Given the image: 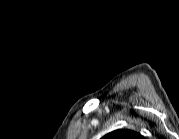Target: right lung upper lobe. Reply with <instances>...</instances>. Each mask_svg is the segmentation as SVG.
Returning a JSON list of instances; mask_svg holds the SVG:
<instances>
[{
    "instance_id": "obj_1",
    "label": "right lung upper lobe",
    "mask_w": 179,
    "mask_h": 139,
    "mask_svg": "<svg viewBox=\"0 0 179 139\" xmlns=\"http://www.w3.org/2000/svg\"><path fill=\"white\" fill-rule=\"evenodd\" d=\"M142 136L131 130H115L108 133L103 139H140Z\"/></svg>"
}]
</instances>
